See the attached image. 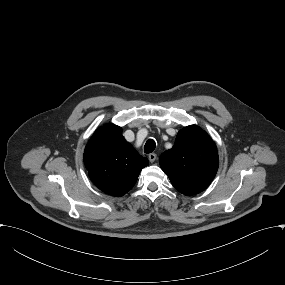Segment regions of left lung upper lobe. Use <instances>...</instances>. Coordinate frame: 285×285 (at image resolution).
<instances>
[{
	"label": "left lung upper lobe",
	"mask_w": 285,
	"mask_h": 285,
	"mask_svg": "<svg viewBox=\"0 0 285 285\" xmlns=\"http://www.w3.org/2000/svg\"><path fill=\"white\" fill-rule=\"evenodd\" d=\"M159 163L176 190L193 195L206 189L218 170V152L209 135L196 125L177 134L174 146Z\"/></svg>",
	"instance_id": "5c2ea615"
}]
</instances>
